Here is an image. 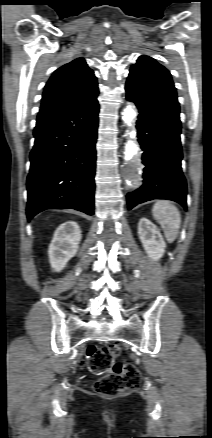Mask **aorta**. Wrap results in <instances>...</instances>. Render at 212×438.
<instances>
[{
	"instance_id": "1",
	"label": "aorta",
	"mask_w": 212,
	"mask_h": 438,
	"mask_svg": "<svg viewBox=\"0 0 212 438\" xmlns=\"http://www.w3.org/2000/svg\"><path fill=\"white\" fill-rule=\"evenodd\" d=\"M135 118H136V112L134 110L133 105L130 104L124 109V111L122 113V120L124 121V123L128 127H132V124H133ZM127 135H129L130 140H128L126 145H125L124 154H125V160L129 161V160L133 159V157L138 154L139 147L132 140L133 134L128 132Z\"/></svg>"
}]
</instances>
